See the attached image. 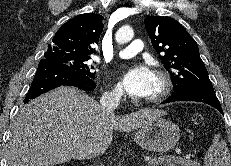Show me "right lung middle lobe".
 Masks as SVG:
<instances>
[{
    "instance_id": "dd1d6c3e",
    "label": "right lung middle lobe",
    "mask_w": 231,
    "mask_h": 166,
    "mask_svg": "<svg viewBox=\"0 0 231 166\" xmlns=\"http://www.w3.org/2000/svg\"><path fill=\"white\" fill-rule=\"evenodd\" d=\"M90 57H68V56H55L50 57L49 60L68 65L74 70L94 78V73L92 72L93 66H89L87 61Z\"/></svg>"
}]
</instances>
